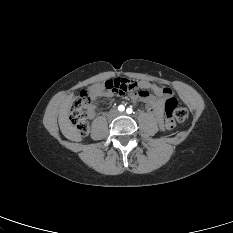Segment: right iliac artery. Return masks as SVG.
I'll list each match as a JSON object with an SVG mask.
<instances>
[{
  "label": "right iliac artery",
  "instance_id": "obj_1",
  "mask_svg": "<svg viewBox=\"0 0 233 233\" xmlns=\"http://www.w3.org/2000/svg\"><path fill=\"white\" fill-rule=\"evenodd\" d=\"M124 109H125V107H124L123 105H119V107H118V110H119V111L122 112V111H124Z\"/></svg>",
  "mask_w": 233,
  "mask_h": 233
}]
</instances>
